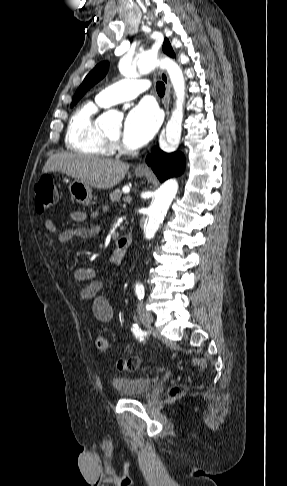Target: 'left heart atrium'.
<instances>
[{
    "label": "left heart atrium",
    "mask_w": 287,
    "mask_h": 486,
    "mask_svg": "<svg viewBox=\"0 0 287 486\" xmlns=\"http://www.w3.org/2000/svg\"><path fill=\"white\" fill-rule=\"evenodd\" d=\"M160 125L157 109L149 103H140L126 116L122 143L128 149L144 146L156 133Z\"/></svg>",
    "instance_id": "39dd6f15"
}]
</instances>
